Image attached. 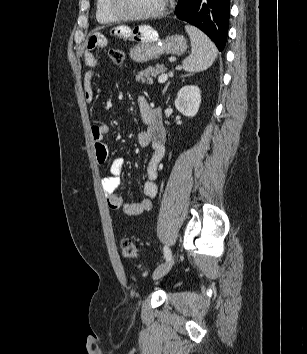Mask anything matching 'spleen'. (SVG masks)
I'll use <instances>...</instances> for the list:
<instances>
[{"instance_id":"spleen-1","label":"spleen","mask_w":307,"mask_h":354,"mask_svg":"<svg viewBox=\"0 0 307 354\" xmlns=\"http://www.w3.org/2000/svg\"><path fill=\"white\" fill-rule=\"evenodd\" d=\"M191 40V54L183 61V69L200 72L208 69L217 57V49L210 38L202 31L187 25L185 27Z\"/></svg>"}]
</instances>
